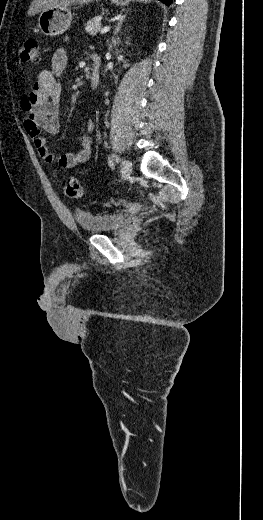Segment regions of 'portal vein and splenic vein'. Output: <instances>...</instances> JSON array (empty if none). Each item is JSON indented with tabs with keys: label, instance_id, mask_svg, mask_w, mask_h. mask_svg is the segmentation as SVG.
<instances>
[{
	"label": "portal vein and splenic vein",
	"instance_id": "18ae733b",
	"mask_svg": "<svg viewBox=\"0 0 263 520\" xmlns=\"http://www.w3.org/2000/svg\"><path fill=\"white\" fill-rule=\"evenodd\" d=\"M109 30H110V27L109 26H105L103 29H101V33L102 34L107 33Z\"/></svg>",
	"mask_w": 263,
	"mask_h": 520
}]
</instances>
